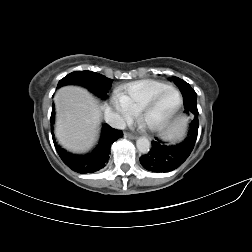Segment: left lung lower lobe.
Wrapping results in <instances>:
<instances>
[{"instance_id": "1", "label": "left lung lower lobe", "mask_w": 252, "mask_h": 252, "mask_svg": "<svg viewBox=\"0 0 252 252\" xmlns=\"http://www.w3.org/2000/svg\"><path fill=\"white\" fill-rule=\"evenodd\" d=\"M183 94L185 113L191 116L189 131L186 139L176 145H167L155 138L150 151L140 157L143 167L152 172H169L178 168L192 152L198 134L197 95L190 85L178 86Z\"/></svg>"}]
</instances>
